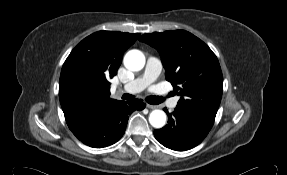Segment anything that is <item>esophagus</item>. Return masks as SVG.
Here are the masks:
<instances>
[{
	"instance_id": "34e87169",
	"label": "esophagus",
	"mask_w": 287,
	"mask_h": 175,
	"mask_svg": "<svg viewBox=\"0 0 287 175\" xmlns=\"http://www.w3.org/2000/svg\"><path fill=\"white\" fill-rule=\"evenodd\" d=\"M146 106H147L149 109H156V108H158V106L152 105V104H149V103H146Z\"/></svg>"
}]
</instances>
